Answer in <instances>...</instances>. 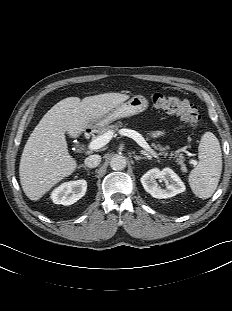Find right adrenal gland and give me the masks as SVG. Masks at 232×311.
Here are the masks:
<instances>
[{"label": "right adrenal gland", "mask_w": 232, "mask_h": 311, "mask_svg": "<svg viewBox=\"0 0 232 311\" xmlns=\"http://www.w3.org/2000/svg\"><path fill=\"white\" fill-rule=\"evenodd\" d=\"M79 168H84L85 170L90 171L85 165H80Z\"/></svg>", "instance_id": "1"}]
</instances>
